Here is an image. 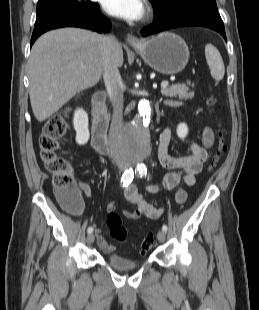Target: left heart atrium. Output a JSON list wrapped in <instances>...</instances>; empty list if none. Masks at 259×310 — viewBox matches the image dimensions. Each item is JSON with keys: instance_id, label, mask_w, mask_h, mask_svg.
Here are the masks:
<instances>
[{"instance_id": "left-heart-atrium-1", "label": "left heart atrium", "mask_w": 259, "mask_h": 310, "mask_svg": "<svg viewBox=\"0 0 259 310\" xmlns=\"http://www.w3.org/2000/svg\"><path fill=\"white\" fill-rule=\"evenodd\" d=\"M104 10L115 17L137 21L145 13L143 0H103Z\"/></svg>"}]
</instances>
